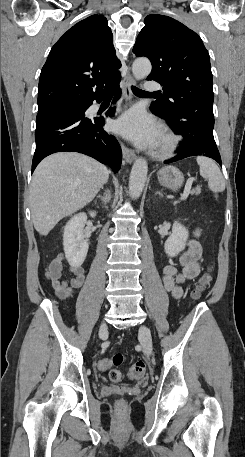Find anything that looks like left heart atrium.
<instances>
[{"label":"left heart atrium","mask_w":245,"mask_h":457,"mask_svg":"<svg viewBox=\"0 0 245 457\" xmlns=\"http://www.w3.org/2000/svg\"><path fill=\"white\" fill-rule=\"evenodd\" d=\"M115 129L120 134L145 145L154 144L159 138V127L141 110H133L124 114L116 123Z\"/></svg>","instance_id":"1"}]
</instances>
